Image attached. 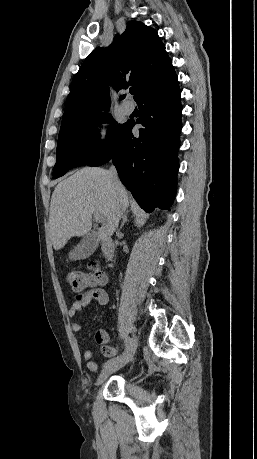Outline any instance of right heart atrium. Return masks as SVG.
Segmentation results:
<instances>
[{"label": "right heart atrium", "instance_id": "d8ad5b80", "mask_svg": "<svg viewBox=\"0 0 257 459\" xmlns=\"http://www.w3.org/2000/svg\"><path fill=\"white\" fill-rule=\"evenodd\" d=\"M111 128L108 123L101 122L95 126L91 135V141L97 148H102L109 143Z\"/></svg>", "mask_w": 257, "mask_h": 459}]
</instances>
